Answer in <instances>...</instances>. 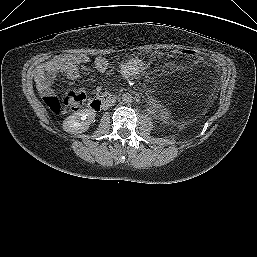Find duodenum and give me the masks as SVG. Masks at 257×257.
<instances>
[{
    "instance_id": "obj_1",
    "label": "duodenum",
    "mask_w": 257,
    "mask_h": 257,
    "mask_svg": "<svg viewBox=\"0 0 257 257\" xmlns=\"http://www.w3.org/2000/svg\"><path fill=\"white\" fill-rule=\"evenodd\" d=\"M117 99V96L113 93H103L92 100H90L88 106L92 111H100L106 107L111 106Z\"/></svg>"
}]
</instances>
